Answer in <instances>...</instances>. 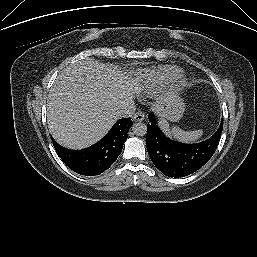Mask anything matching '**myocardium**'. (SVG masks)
<instances>
[{
	"label": "myocardium",
	"mask_w": 257,
	"mask_h": 257,
	"mask_svg": "<svg viewBox=\"0 0 257 257\" xmlns=\"http://www.w3.org/2000/svg\"><path fill=\"white\" fill-rule=\"evenodd\" d=\"M186 76L183 73H176L171 79V87L173 89H179L186 84Z\"/></svg>",
	"instance_id": "obj_1"
}]
</instances>
